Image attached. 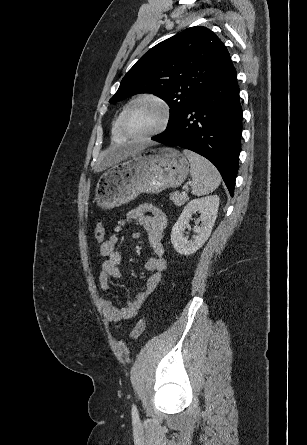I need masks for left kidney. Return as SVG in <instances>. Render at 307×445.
<instances>
[{"mask_svg": "<svg viewBox=\"0 0 307 445\" xmlns=\"http://www.w3.org/2000/svg\"><path fill=\"white\" fill-rule=\"evenodd\" d=\"M219 206V196L211 194V196H203V198H193L183 208L177 223H175L171 231V243L180 255H192L198 249L203 247L207 239H209L212 227L215 223ZM201 212L199 220H202L201 227H195L194 233H197L191 241L184 237L185 229L188 227L189 220L193 212Z\"/></svg>", "mask_w": 307, "mask_h": 445, "instance_id": "5707ae66", "label": "left kidney"}]
</instances>
